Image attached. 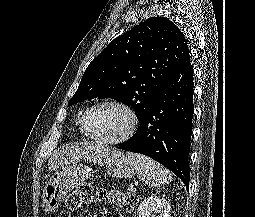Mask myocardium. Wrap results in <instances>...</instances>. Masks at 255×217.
<instances>
[{
  "label": "myocardium",
  "instance_id": "myocardium-1",
  "mask_svg": "<svg viewBox=\"0 0 255 217\" xmlns=\"http://www.w3.org/2000/svg\"><path fill=\"white\" fill-rule=\"evenodd\" d=\"M103 105L115 106V107L121 109L122 111H124L126 113V115L128 116L129 122H128L127 128L121 135H119L116 138L106 139V138L96 136L93 133H91L87 127V117H88L89 113L93 109H95L99 106H103ZM138 125H139V118H138V115L135 112V110L126 102L117 100V99H103L98 102H95L94 104H92L85 110V112L83 113L82 118H81V128H82L83 132L89 138L96 140L100 143L109 144V145L119 144V143H122V142L128 140L134 134V132L138 128Z\"/></svg>",
  "mask_w": 255,
  "mask_h": 217
}]
</instances>
